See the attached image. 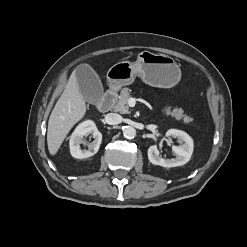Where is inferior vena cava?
Returning a JSON list of instances; mask_svg holds the SVG:
<instances>
[{
  "instance_id": "1",
  "label": "inferior vena cava",
  "mask_w": 247,
  "mask_h": 247,
  "mask_svg": "<svg viewBox=\"0 0 247 247\" xmlns=\"http://www.w3.org/2000/svg\"><path fill=\"white\" fill-rule=\"evenodd\" d=\"M122 120V116L117 113H108L105 115V122L109 125L120 124Z\"/></svg>"
}]
</instances>
